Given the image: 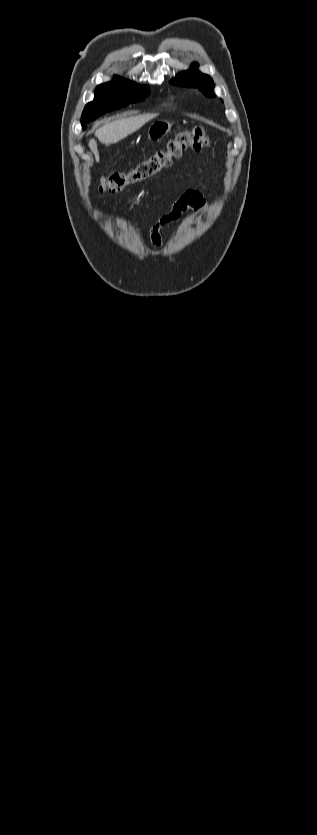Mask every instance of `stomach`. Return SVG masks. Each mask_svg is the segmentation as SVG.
<instances>
[{
    "label": "stomach",
    "instance_id": "0dacf381",
    "mask_svg": "<svg viewBox=\"0 0 317 835\" xmlns=\"http://www.w3.org/2000/svg\"><path fill=\"white\" fill-rule=\"evenodd\" d=\"M172 125L171 122L165 120L152 123L147 132L148 139L153 143L160 141L171 131Z\"/></svg>",
    "mask_w": 317,
    "mask_h": 835
}]
</instances>
